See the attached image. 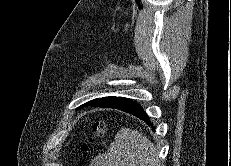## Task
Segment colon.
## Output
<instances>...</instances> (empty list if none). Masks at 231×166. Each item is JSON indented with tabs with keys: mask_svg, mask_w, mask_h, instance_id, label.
Masks as SVG:
<instances>
[{
	"mask_svg": "<svg viewBox=\"0 0 231 166\" xmlns=\"http://www.w3.org/2000/svg\"><path fill=\"white\" fill-rule=\"evenodd\" d=\"M106 133V126L103 122H98L96 123L95 127H94V135L95 137L99 138V137H103ZM88 146L85 145L84 146V150H87Z\"/></svg>",
	"mask_w": 231,
	"mask_h": 166,
	"instance_id": "5ec220e1",
	"label": "colon"
}]
</instances>
